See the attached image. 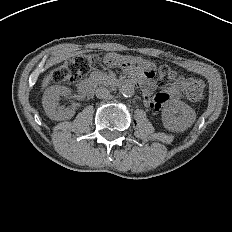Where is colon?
<instances>
[{
    "label": "colon",
    "instance_id": "5ec220e1",
    "mask_svg": "<svg viewBox=\"0 0 232 232\" xmlns=\"http://www.w3.org/2000/svg\"><path fill=\"white\" fill-rule=\"evenodd\" d=\"M96 62L92 55L76 56L59 66L52 74L55 82H73L87 75ZM176 82L175 72L168 66H161L158 71V84L161 88L172 86ZM186 95L191 102H201L204 98V85L199 80H188Z\"/></svg>",
    "mask_w": 232,
    "mask_h": 232
}]
</instances>
